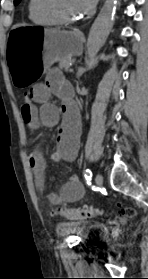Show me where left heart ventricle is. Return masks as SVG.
I'll list each match as a JSON object with an SVG mask.
<instances>
[{
    "label": "left heart ventricle",
    "mask_w": 148,
    "mask_h": 279,
    "mask_svg": "<svg viewBox=\"0 0 148 279\" xmlns=\"http://www.w3.org/2000/svg\"><path fill=\"white\" fill-rule=\"evenodd\" d=\"M57 8L66 17H80L77 0H56Z\"/></svg>",
    "instance_id": "1"
}]
</instances>
